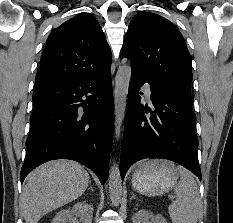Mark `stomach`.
Segmentation results:
<instances>
[{
  "label": "stomach",
  "mask_w": 233,
  "mask_h": 223,
  "mask_svg": "<svg viewBox=\"0 0 233 223\" xmlns=\"http://www.w3.org/2000/svg\"><path fill=\"white\" fill-rule=\"evenodd\" d=\"M179 173L173 161L145 159L132 175L133 189L143 195H163L175 187Z\"/></svg>",
  "instance_id": "stomach-1"
}]
</instances>
